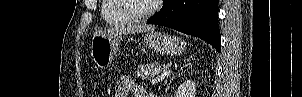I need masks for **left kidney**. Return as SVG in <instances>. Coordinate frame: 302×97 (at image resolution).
<instances>
[{"instance_id": "1", "label": "left kidney", "mask_w": 302, "mask_h": 97, "mask_svg": "<svg viewBox=\"0 0 302 97\" xmlns=\"http://www.w3.org/2000/svg\"><path fill=\"white\" fill-rule=\"evenodd\" d=\"M196 83L191 80H186L177 90L176 97H195Z\"/></svg>"}]
</instances>
